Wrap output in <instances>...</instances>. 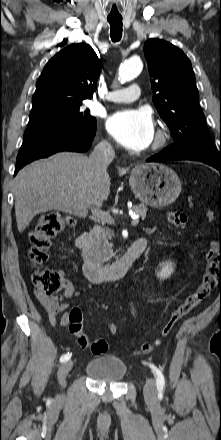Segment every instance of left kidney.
<instances>
[{
  "label": "left kidney",
  "instance_id": "5707ae66",
  "mask_svg": "<svg viewBox=\"0 0 221 440\" xmlns=\"http://www.w3.org/2000/svg\"><path fill=\"white\" fill-rule=\"evenodd\" d=\"M160 271L156 272V275L159 279H167L174 272V263L171 261H166L160 263Z\"/></svg>",
  "mask_w": 221,
  "mask_h": 440
}]
</instances>
